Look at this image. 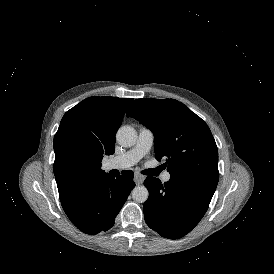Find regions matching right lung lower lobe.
I'll list each match as a JSON object with an SVG mask.
<instances>
[{
	"label": "right lung lower lobe",
	"mask_w": 274,
	"mask_h": 274,
	"mask_svg": "<svg viewBox=\"0 0 274 274\" xmlns=\"http://www.w3.org/2000/svg\"><path fill=\"white\" fill-rule=\"evenodd\" d=\"M133 175L132 171H127L122 176L104 173L94 178L84 188L61 201L65 213L84 233L107 231L135 187Z\"/></svg>",
	"instance_id": "1"
}]
</instances>
